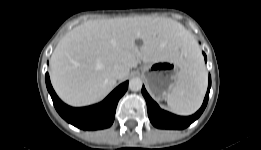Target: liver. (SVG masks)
Returning a JSON list of instances; mask_svg holds the SVG:
<instances>
[{
    "label": "liver",
    "instance_id": "1",
    "mask_svg": "<svg viewBox=\"0 0 261 150\" xmlns=\"http://www.w3.org/2000/svg\"><path fill=\"white\" fill-rule=\"evenodd\" d=\"M136 39L143 41L140 48ZM195 47L191 34L170 18L90 20L70 30L56 46L51 56V82L65 103L90 105L116 85L115 65L130 70L139 61H175L183 69L189 61L188 50Z\"/></svg>",
    "mask_w": 261,
    "mask_h": 150
}]
</instances>
